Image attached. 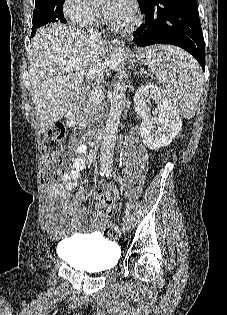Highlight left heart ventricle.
I'll return each mask as SVG.
<instances>
[{"instance_id":"left-heart-ventricle-1","label":"left heart ventricle","mask_w":227,"mask_h":315,"mask_svg":"<svg viewBox=\"0 0 227 315\" xmlns=\"http://www.w3.org/2000/svg\"><path fill=\"white\" fill-rule=\"evenodd\" d=\"M130 21H131V19H126V20H123V21H121V22H119V23H116V25H119V26H123V25H126V24H128V23H130Z\"/></svg>"}]
</instances>
